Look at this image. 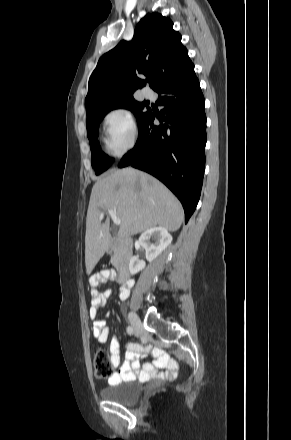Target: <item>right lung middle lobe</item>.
<instances>
[{"mask_svg":"<svg viewBox=\"0 0 291 440\" xmlns=\"http://www.w3.org/2000/svg\"><path fill=\"white\" fill-rule=\"evenodd\" d=\"M117 108H126L134 112L138 124L146 114V112H143V110L145 108L148 109L145 102H138L133 97H131L122 101L98 106L87 112V136L90 141L92 167L94 168L97 175L105 171L109 167L110 162L113 161V159L100 151V146L97 141L98 126L103 117L110 110Z\"/></svg>","mask_w":291,"mask_h":440,"instance_id":"1","label":"right lung middle lobe"}]
</instances>
